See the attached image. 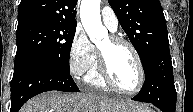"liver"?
<instances>
[{"label":"liver","instance_id":"1","mask_svg":"<svg viewBox=\"0 0 193 112\" xmlns=\"http://www.w3.org/2000/svg\"><path fill=\"white\" fill-rule=\"evenodd\" d=\"M138 104L92 94L50 91L30 99L20 112H122Z\"/></svg>","mask_w":193,"mask_h":112}]
</instances>
